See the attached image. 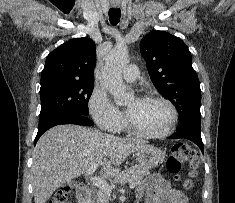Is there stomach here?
I'll use <instances>...</instances> for the list:
<instances>
[{"label":"stomach","mask_w":235,"mask_h":203,"mask_svg":"<svg viewBox=\"0 0 235 203\" xmlns=\"http://www.w3.org/2000/svg\"><path fill=\"white\" fill-rule=\"evenodd\" d=\"M140 166L153 168L160 165L165 159V152L153 145H144L134 151Z\"/></svg>","instance_id":"stomach-1"}]
</instances>
